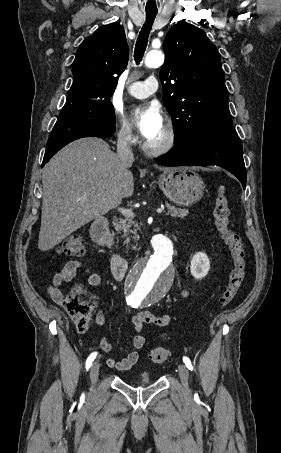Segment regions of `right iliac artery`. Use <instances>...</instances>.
Returning <instances> with one entry per match:
<instances>
[{
  "instance_id": "obj_1",
  "label": "right iliac artery",
  "mask_w": 281,
  "mask_h": 453,
  "mask_svg": "<svg viewBox=\"0 0 281 453\" xmlns=\"http://www.w3.org/2000/svg\"><path fill=\"white\" fill-rule=\"evenodd\" d=\"M96 355H97V352H94L87 358V360H86V369L87 370L91 367L92 362L96 358Z\"/></svg>"
}]
</instances>
